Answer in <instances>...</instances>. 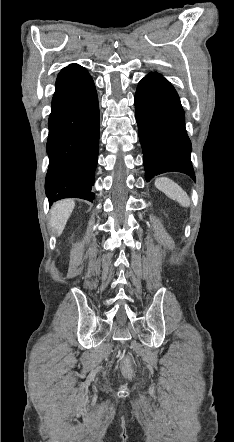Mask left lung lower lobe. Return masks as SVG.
Masks as SVG:
<instances>
[{
  "label": "left lung lower lobe",
  "mask_w": 234,
  "mask_h": 442,
  "mask_svg": "<svg viewBox=\"0 0 234 442\" xmlns=\"http://www.w3.org/2000/svg\"><path fill=\"white\" fill-rule=\"evenodd\" d=\"M134 102L146 180L165 172L195 180L184 111L171 83L150 73L139 82Z\"/></svg>",
  "instance_id": "left-lung-lower-lobe-1"
}]
</instances>
